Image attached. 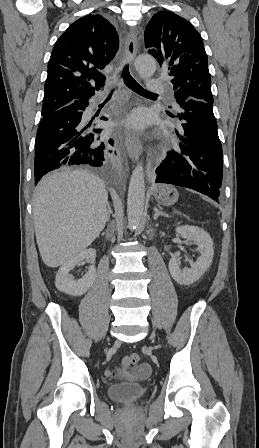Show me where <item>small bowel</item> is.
Returning a JSON list of instances; mask_svg holds the SVG:
<instances>
[{
  "label": "small bowel",
  "instance_id": "c3829d8e",
  "mask_svg": "<svg viewBox=\"0 0 259 448\" xmlns=\"http://www.w3.org/2000/svg\"><path fill=\"white\" fill-rule=\"evenodd\" d=\"M151 367L148 363H141L137 367L131 368L128 357L123 358L120 365L114 369H107L105 375L110 378H125L132 381L145 379L150 374Z\"/></svg>",
  "mask_w": 259,
  "mask_h": 448
}]
</instances>
